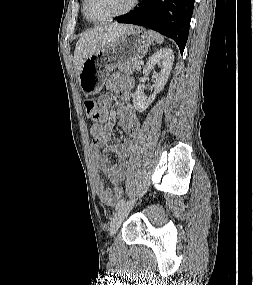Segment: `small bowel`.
<instances>
[{"instance_id": "small-bowel-1", "label": "small bowel", "mask_w": 253, "mask_h": 285, "mask_svg": "<svg viewBox=\"0 0 253 285\" xmlns=\"http://www.w3.org/2000/svg\"><path fill=\"white\" fill-rule=\"evenodd\" d=\"M134 81L132 78L114 74L107 81L109 91L115 93L121 100L116 113L119 124L130 138H135L140 132V121L130 102ZM112 106V98L108 95L102 96L95 109V116L91 118L94 123L90 127L93 137L95 166L98 173L105 174L110 182L116 186L114 190L107 188L100 176L96 177L95 188L98 198L106 205L112 206L122 196L116 192L125 181L128 171V158L135 150V144L128 140L118 144H108L112 139L113 123L109 121V110ZM108 154H115L118 158L116 164H110Z\"/></svg>"}]
</instances>
